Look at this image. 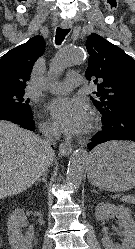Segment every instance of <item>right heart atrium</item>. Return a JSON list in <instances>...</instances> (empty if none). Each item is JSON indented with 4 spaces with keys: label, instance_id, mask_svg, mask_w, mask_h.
<instances>
[{
    "label": "right heart atrium",
    "instance_id": "d8ad5b80",
    "mask_svg": "<svg viewBox=\"0 0 135 249\" xmlns=\"http://www.w3.org/2000/svg\"><path fill=\"white\" fill-rule=\"evenodd\" d=\"M41 128L46 133H55L56 132V129L54 128V126H52L51 124L46 123V122H43L41 124Z\"/></svg>",
    "mask_w": 135,
    "mask_h": 249
}]
</instances>
